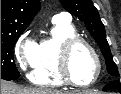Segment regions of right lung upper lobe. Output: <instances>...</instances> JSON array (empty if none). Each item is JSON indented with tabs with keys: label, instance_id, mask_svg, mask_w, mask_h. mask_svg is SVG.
<instances>
[{
	"label": "right lung upper lobe",
	"instance_id": "right-lung-upper-lobe-1",
	"mask_svg": "<svg viewBox=\"0 0 121 94\" xmlns=\"http://www.w3.org/2000/svg\"><path fill=\"white\" fill-rule=\"evenodd\" d=\"M39 10V0H1V33L25 30Z\"/></svg>",
	"mask_w": 121,
	"mask_h": 94
}]
</instances>
